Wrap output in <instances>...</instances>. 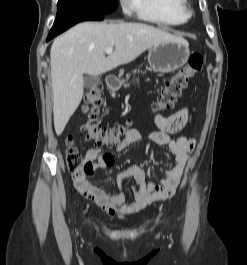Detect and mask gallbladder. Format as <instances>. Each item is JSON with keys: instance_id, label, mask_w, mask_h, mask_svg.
<instances>
[{"instance_id": "1", "label": "gallbladder", "mask_w": 247, "mask_h": 265, "mask_svg": "<svg viewBox=\"0 0 247 265\" xmlns=\"http://www.w3.org/2000/svg\"><path fill=\"white\" fill-rule=\"evenodd\" d=\"M100 82L99 76H86L84 78V87L87 89L93 88Z\"/></svg>"}]
</instances>
